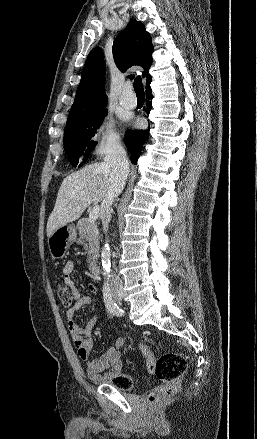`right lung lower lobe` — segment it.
Here are the masks:
<instances>
[{"mask_svg":"<svg viewBox=\"0 0 257 439\" xmlns=\"http://www.w3.org/2000/svg\"><path fill=\"white\" fill-rule=\"evenodd\" d=\"M152 79H149L148 81H146V96H147V107H146V113L149 114L151 108H152V91L150 88V83H151ZM149 137V130L144 131V130H135V131H131L128 130L126 131L125 134V142H126V146L129 150V152L131 153V162L133 164H136L139 156L141 155V151L142 148L144 146V144L146 143L147 139Z\"/></svg>","mask_w":257,"mask_h":439,"instance_id":"right-lung-lower-lobe-1","label":"right lung lower lobe"}]
</instances>
